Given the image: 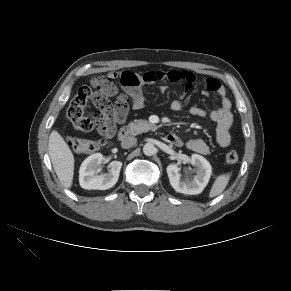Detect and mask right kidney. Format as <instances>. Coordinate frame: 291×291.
Masks as SVG:
<instances>
[{
  "instance_id": "ca27d5eb",
  "label": "right kidney",
  "mask_w": 291,
  "mask_h": 291,
  "mask_svg": "<svg viewBox=\"0 0 291 291\" xmlns=\"http://www.w3.org/2000/svg\"><path fill=\"white\" fill-rule=\"evenodd\" d=\"M103 159L101 153H95L87 157L80 166L79 182L83 189L106 190L113 187L119 178L122 162L113 161L109 165V171L103 175H96Z\"/></svg>"
}]
</instances>
